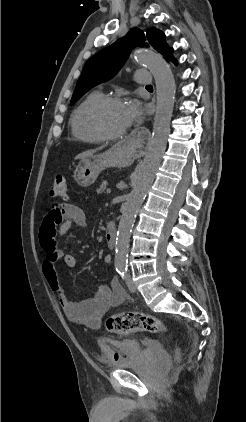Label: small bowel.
<instances>
[{
    "mask_svg": "<svg viewBox=\"0 0 246 422\" xmlns=\"http://www.w3.org/2000/svg\"><path fill=\"white\" fill-rule=\"evenodd\" d=\"M73 227H86L85 214L76 205H54L45 215L39 233L41 247L45 252L43 273L49 287L57 293L67 319L78 325L99 329L107 310L123 301L124 291L117 278L111 280L110 287L100 286L90 298L78 302L72 301L62 290L57 263L61 261L64 266L73 268L76 260L58 246L57 237L66 234ZM104 261L109 264L111 257L105 256Z\"/></svg>",
    "mask_w": 246,
    "mask_h": 422,
    "instance_id": "c3829d8e",
    "label": "small bowel"
}]
</instances>
